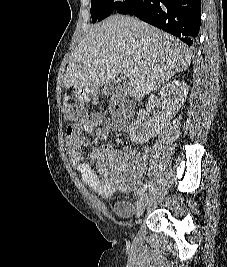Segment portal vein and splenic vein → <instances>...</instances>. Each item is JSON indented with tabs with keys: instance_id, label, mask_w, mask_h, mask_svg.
Instances as JSON below:
<instances>
[{
	"instance_id": "obj_1",
	"label": "portal vein and splenic vein",
	"mask_w": 227,
	"mask_h": 267,
	"mask_svg": "<svg viewBox=\"0 0 227 267\" xmlns=\"http://www.w3.org/2000/svg\"><path fill=\"white\" fill-rule=\"evenodd\" d=\"M123 73L126 77H132L134 75V71L130 68H124Z\"/></svg>"
}]
</instances>
